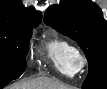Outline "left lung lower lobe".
Segmentation results:
<instances>
[{
	"mask_svg": "<svg viewBox=\"0 0 107 89\" xmlns=\"http://www.w3.org/2000/svg\"><path fill=\"white\" fill-rule=\"evenodd\" d=\"M90 89H107V83L106 84H101V85H97V86H94Z\"/></svg>",
	"mask_w": 107,
	"mask_h": 89,
	"instance_id": "left-lung-lower-lobe-1",
	"label": "left lung lower lobe"
}]
</instances>
